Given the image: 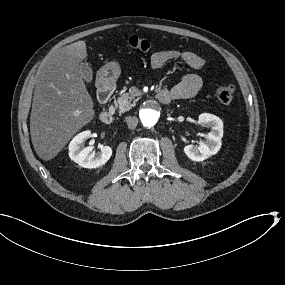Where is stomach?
Returning <instances> with one entry per match:
<instances>
[{
	"mask_svg": "<svg viewBox=\"0 0 285 285\" xmlns=\"http://www.w3.org/2000/svg\"><path fill=\"white\" fill-rule=\"evenodd\" d=\"M121 72V67L118 61H111L105 69H101L97 74V80L104 86L114 84Z\"/></svg>",
	"mask_w": 285,
	"mask_h": 285,
	"instance_id": "0dacf381",
	"label": "stomach"
}]
</instances>
